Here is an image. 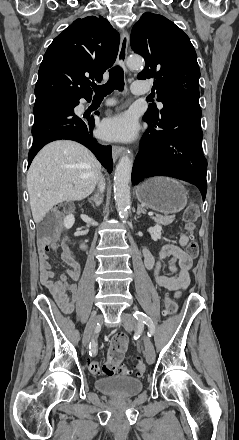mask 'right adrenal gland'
<instances>
[{
    "label": "right adrenal gland",
    "instance_id": "obj_1",
    "mask_svg": "<svg viewBox=\"0 0 239 440\" xmlns=\"http://www.w3.org/2000/svg\"><path fill=\"white\" fill-rule=\"evenodd\" d=\"M103 198H104L103 192H101V196H100V194H96V196H92V198H90L89 202H91V200H92V202H94L96 208H98V206H100V204H102Z\"/></svg>",
    "mask_w": 239,
    "mask_h": 440
}]
</instances>
